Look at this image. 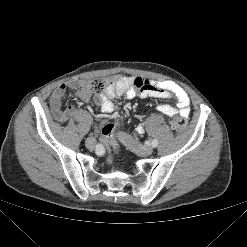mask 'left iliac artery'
<instances>
[{"label":"left iliac artery","instance_id":"left-iliac-artery-1","mask_svg":"<svg viewBox=\"0 0 247 247\" xmlns=\"http://www.w3.org/2000/svg\"><path fill=\"white\" fill-rule=\"evenodd\" d=\"M151 145H152V147H157L158 146V141L156 140V139H153L152 141H151Z\"/></svg>","mask_w":247,"mask_h":247}]
</instances>
